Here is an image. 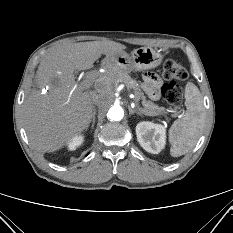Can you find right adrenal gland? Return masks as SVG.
I'll use <instances>...</instances> for the list:
<instances>
[{"label": "right adrenal gland", "mask_w": 233, "mask_h": 233, "mask_svg": "<svg viewBox=\"0 0 233 233\" xmlns=\"http://www.w3.org/2000/svg\"><path fill=\"white\" fill-rule=\"evenodd\" d=\"M94 124H95V112H94V114H93V116H92V125H91V129L94 128Z\"/></svg>", "instance_id": "right-adrenal-gland-1"}]
</instances>
